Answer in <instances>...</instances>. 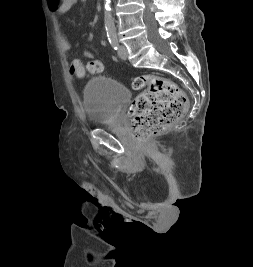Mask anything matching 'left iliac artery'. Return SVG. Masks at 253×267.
Listing matches in <instances>:
<instances>
[{"label":"left iliac artery","instance_id":"1","mask_svg":"<svg viewBox=\"0 0 253 267\" xmlns=\"http://www.w3.org/2000/svg\"><path fill=\"white\" fill-rule=\"evenodd\" d=\"M107 37L109 40V43L114 48V50L118 49V39L116 30L113 27H106Z\"/></svg>","mask_w":253,"mask_h":267}]
</instances>
